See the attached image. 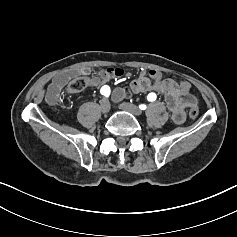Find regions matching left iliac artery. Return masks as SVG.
I'll return each instance as SVG.
<instances>
[{
  "label": "left iliac artery",
  "instance_id": "left-iliac-artery-1",
  "mask_svg": "<svg viewBox=\"0 0 237 237\" xmlns=\"http://www.w3.org/2000/svg\"><path fill=\"white\" fill-rule=\"evenodd\" d=\"M148 101H155L156 100V94L155 93H149L147 96ZM139 108L141 110H145L146 109V105H140Z\"/></svg>",
  "mask_w": 237,
  "mask_h": 237
}]
</instances>
